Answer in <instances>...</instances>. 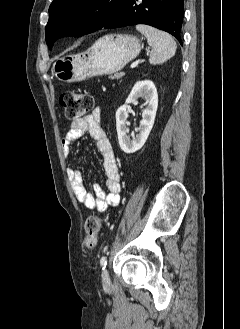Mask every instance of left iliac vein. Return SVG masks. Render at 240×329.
<instances>
[{
  "label": "left iliac vein",
  "mask_w": 240,
  "mask_h": 329,
  "mask_svg": "<svg viewBox=\"0 0 240 329\" xmlns=\"http://www.w3.org/2000/svg\"><path fill=\"white\" fill-rule=\"evenodd\" d=\"M102 282H103L104 286L110 285V277H109L107 269H104L102 272Z\"/></svg>",
  "instance_id": "left-iliac-vein-1"
}]
</instances>
